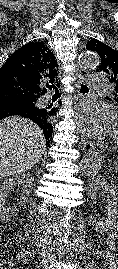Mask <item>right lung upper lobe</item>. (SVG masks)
<instances>
[{
	"mask_svg": "<svg viewBox=\"0 0 118 269\" xmlns=\"http://www.w3.org/2000/svg\"><path fill=\"white\" fill-rule=\"evenodd\" d=\"M57 61L42 42H30L15 51L0 68V100L17 99L34 105L30 116L42 129L45 138L52 136L51 116L55 108L43 107L38 100L50 83L57 81Z\"/></svg>",
	"mask_w": 118,
	"mask_h": 269,
	"instance_id": "right-lung-upper-lobe-1",
	"label": "right lung upper lobe"
}]
</instances>
